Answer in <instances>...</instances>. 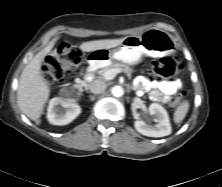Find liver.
Segmentation results:
<instances>
[{"instance_id":"liver-1","label":"liver","mask_w":222,"mask_h":187,"mask_svg":"<svg viewBox=\"0 0 222 187\" xmlns=\"http://www.w3.org/2000/svg\"><path fill=\"white\" fill-rule=\"evenodd\" d=\"M124 38L104 39L83 42L80 49L83 52H91L98 49H110L120 45ZM58 37L52 39L49 44L38 52L24 68L17 91V102L20 110L31 120L37 121L48 100L50 88L41 73V63L51 51Z\"/></svg>"}]
</instances>
